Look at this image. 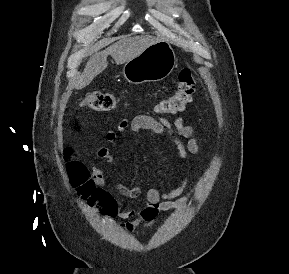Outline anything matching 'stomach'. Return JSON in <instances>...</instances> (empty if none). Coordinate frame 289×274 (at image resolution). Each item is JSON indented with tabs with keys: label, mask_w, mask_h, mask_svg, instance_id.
Returning a JSON list of instances; mask_svg holds the SVG:
<instances>
[{
	"label": "stomach",
	"mask_w": 289,
	"mask_h": 274,
	"mask_svg": "<svg viewBox=\"0 0 289 274\" xmlns=\"http://www.w3.org/2000/svg\"><path fill=\"white\" fill-rule=\"evenodd\" d=\"M176 64L172 46L167 41H158L126 62L123 75L132 84L158 82L168 77Z\"/></svg>",
	"instance_id": "obj_1"
}]
</instances>
